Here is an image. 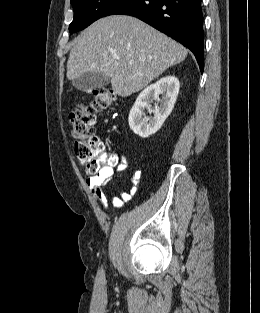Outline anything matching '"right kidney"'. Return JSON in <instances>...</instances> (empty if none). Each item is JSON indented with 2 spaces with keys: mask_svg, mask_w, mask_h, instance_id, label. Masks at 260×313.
<instances>
[{
  "mask_svg": "<svg viewBox=\"0 0 260 313\" xmlns=\"http://www.w3.org/2000/svg\"><path fill=\"white\" fill-rule=\"evenodd\" d=\"M179 87L178 79L169 75L145 88L137 97L129 113L128 122L131 130L141 138H147L156 133L172 112ZM154 100L160 102V105H156L152 110L151 103ZM145 109L153 112V117H144Z\"/></svg>",
  "mask_w": 260,
  "mask_h": 313,
  "instance_id": "ca27d5eb",
  "label": "right kidney"
}]
</instances>
